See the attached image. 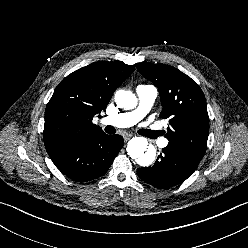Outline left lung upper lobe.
<instances>
[{"label":"left lung upper lobe","mask_w":248,"mask_h":248,"mask_svg":"<svg viewBox=\"0 0 248 248\" xmlns=\"http://www.w3.org/2000/svg\"><path fill=\"white\" fill-rule=\"evenodd\" d=\"M138 71L160 92V117L169 119L167 148L194 166L203 158L209 132L205 96L190 77L164 64L138 63Z\"/></svg>","instance_id":"left-lung-upper-lobe-1"}]
</instances>
